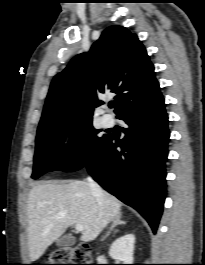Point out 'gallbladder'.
I'll return each instance as SVG.
<instances>
[{"label":"gallbladder","mask_w":205,"mask_h":265,"mask_svg":"<svg viewBox=\"0 0 205 265\" xmlns=\"http://www.w3.org/2000/svg\"><path fill=\"white\" fill-rule=\"evenodd\" d=\"M74 244H75V238L70 234L64 235L58 238L56 241V245L59 247H70Z\"/></svg>","instance_id":"obj_1"}]
</instances>
